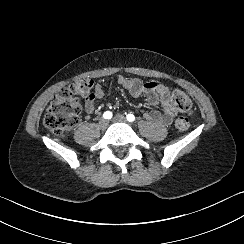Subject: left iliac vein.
<instances>
[{
	"label": "left iliac vein",
	"mask_w": 244,
	"mask_h": 244,
	"mask_svg": "<svg viewBox=\"0 0 244 244\" xmlns=\"http://www.w3.org/2000/svg\"><path fill=\"white\" fill-rule=\"evenodd\" d=\"M113 120H114L115 122L127 123L126 118H125L123 115H120V114L116 115V116L113 118Z\"/></svg>",
	"instance_id": "1"
}]
</instances>
